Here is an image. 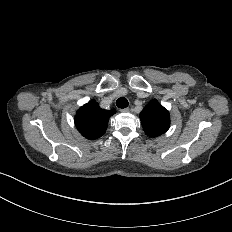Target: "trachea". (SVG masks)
Wrapping results in <instances>:
<instances>
[{
    "label": "trachea",
    "instance_id": "obj_1",
    "mask_svg": "<svg viewBox=\"0 0 232 232\" xmlns=\"http://www.w3.org/2000/svg\"><path fill=\"white\" fill-rule=\"evenodd\" d=\"M128 104H129L128 100L124 97H121V98L117 99V101H116L117 107H119L121 109L126 108L128 106Z\"/></svg>",
    "mask_w": 232,
    "mask_h": 232
}]
</instances>
